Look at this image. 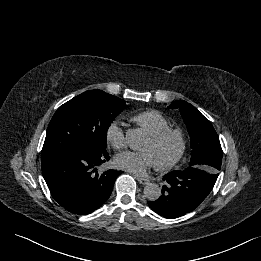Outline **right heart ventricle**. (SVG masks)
<instances>
[{"label":"right heart ventricle","instance_id":"e07e8e85","mask_svg":"<svg viewBox=\"0 0 261 261\" xmlns=\"http://www.w3.org/2000/svg\"><path fill=\"white\" fill-rule=\"evenodd\" d=\"M132 121L138 124L150 136L170 127L169 120L161 112L153 109L134 115Z\"/></svg>","mask_w":261,"mask_h":261}]
</instances>
